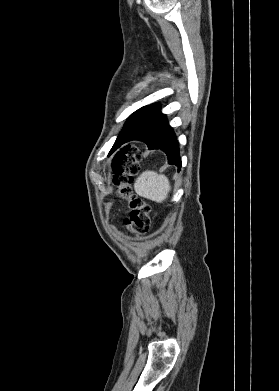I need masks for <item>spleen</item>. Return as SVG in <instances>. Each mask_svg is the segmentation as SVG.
<instances>
[{"label":"spleen","mask_w":279,"mask_h":391,"mask_svg":"<svg viewBox=\"0 0 279 391\" xmlns=\"http://www.w3.org/2000/svg\"><path fill=\"white\" fill-rule=\"evenodd\" d=\"M134 189L139 196L161 203L167 198L171 186L165 175L147 170L136 179Z\"/></svg>","instance_id":"spleen-1"}]
</instances>
